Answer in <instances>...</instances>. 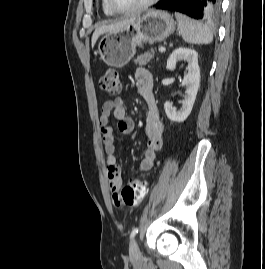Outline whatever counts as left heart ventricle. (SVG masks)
Segmentation results:
<instances>
[{"label":"left heart ventricle","mask_w":265,"mask_h":269,"mask_svg":"<svg viewBox=\"0 0 265 269\" xmlns=\"http://www.w3.org/2000/svg\"><path fill=\"white\" fill-rule=\"evenodd\" d=\"M114 4L121 9L133 8L147 0H113Z\"/></svg>","instance_id":"obj_1"}]
</instances>
